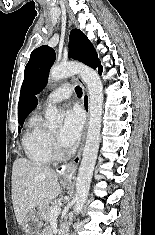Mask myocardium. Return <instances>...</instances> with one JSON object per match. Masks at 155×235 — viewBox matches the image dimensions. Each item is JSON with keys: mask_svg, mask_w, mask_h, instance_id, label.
<instances>
[{"mask_svg": "<svg viewBox=\"0 0 155 235\" xmlns=\"http://www.w3.org/2000/svg\"><path fill=\"white\" fill-rule=\"evenodd\" d=\"M50 138H51V151L53 158L63 159L65 157V152L62 149L60 143L58 142L56 135L50 132Z\"/></svg>", "mask_w": 155, "mask_h": 235, "instance_id": "obj_1", "label": "myocardium"}]
</instances>
